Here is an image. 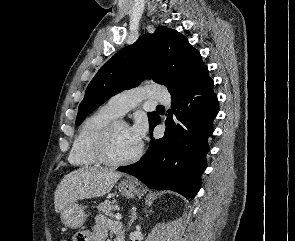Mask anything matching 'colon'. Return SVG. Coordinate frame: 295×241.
<instances>
[{
    "mask_svg": "<svg viewBox=\"0 0 295 241\" xmlns=\"http://www.w3.org/2000/svg\"><path fill=\"white\" fill-rule=\"evenodd\" d=\"M73 241H85V236L82 232L77 233L74 238Z\"/></svg>",
    "mask_w": 295,
    "mask_h": 241,
    "instance_id": "obj_1",
    "label": "colon"
}]
</instances>
